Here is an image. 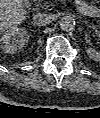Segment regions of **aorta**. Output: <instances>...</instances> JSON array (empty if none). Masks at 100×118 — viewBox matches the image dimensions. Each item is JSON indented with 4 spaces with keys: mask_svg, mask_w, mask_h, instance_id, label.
<instances>
[{
    "mask_svg": "<svg viewBox=\"0 0 100 118\" xmlns=\"http://www.w3.org/2000/svg\"><path fill=\"white\" fill-rule=\"evenodd\" d=\"M59 25L64 31H71L75 27V19L71 15H64L60 21Z\"/></svg>",
    "mask_w": 100,
    "mask_h": 118,
    "instance_id": "762f6f07",
    "label": "aorta"
}]
</instances>
